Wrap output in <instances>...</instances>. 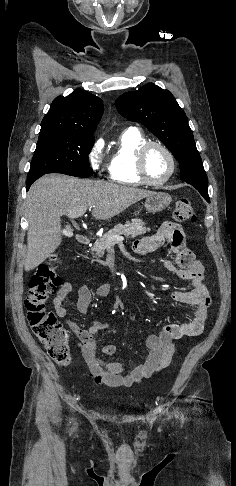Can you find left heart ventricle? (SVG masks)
<instances>
[{
	"label": "left heart ventricle",
	"instance_id": "1",
	"mask_svg": "<svg viewBox=\"0 0 236 486\" xmlns=\"http://www.w3.org/2000/svg\"><path fill=\"white\" fill-rule=\"evenodd\" d=\"M146 172L150 179L159 181L165 178L170 170V161L166 153L159 147H151L145 159Z\"/></svg>",
	"mask_w": 236,
	"mask_h": 486
}]
</instances>
